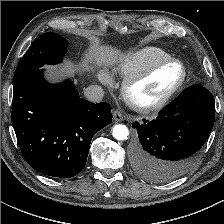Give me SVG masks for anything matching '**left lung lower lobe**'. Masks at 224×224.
Listing matches in <instances>:
<instances>
[{"mask_svg": "<svg viewBox=\"0 0 224 224\" xmlns=\"http://www.w3.org/2000/svg\"><path fill=\"white\" fill-rule=\"evenodd\" d=\"M215 120V100L209 90L192 85L164 107L156 119L134 122L139 144L133 167L141 178L165 183L185 174L197 161Z\"/></svg>", "mask_w": 224, "mask_h": 224, "instance_id": "left-lung-lower-lobe-1", "label": "left lung lower lobe"}]
</instances>
